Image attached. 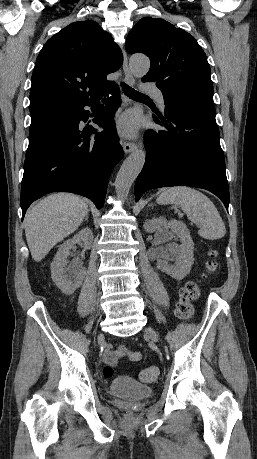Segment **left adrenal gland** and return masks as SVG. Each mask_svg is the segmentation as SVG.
<instances>
[{
    "label": "left adrenal gland",
    "mask_w": 257,
    "mask_h": 459,
    "mask_svg": "<svg viewBox=\"0 0 257 459\" xmlns=\"http://www.w3.org/2000/svg\"><path fill=\"white\" fill-rule=\"evenodd\" d=\"M149 206H153V204L151 203Z\"/></svg>",
    "instance_id": "left-adrenal-gland-1"
}]
</instances>
